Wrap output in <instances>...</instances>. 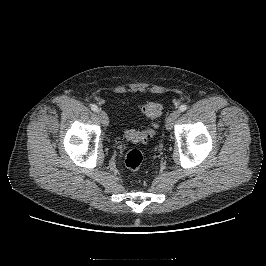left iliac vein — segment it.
Masks as SVG:
<instances>
[{"label": "left iliac vein", "mask_w": 266, "mask_h": 266, "mask_svg": "<svg viewBox=\"0 0 266 266\" xmlns=\"http://www.w3.org/2000/svg\"><path fill=\"white\" fill-rule=\"evenodd\" d=\"M179 115H180V111L175 110L168 116V118L166 120L167 130H170L173 127V124H174L175 120L179 117Z\"/></svg>", "instance_id": "1"}]
</instances>
